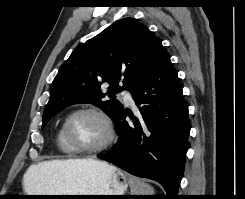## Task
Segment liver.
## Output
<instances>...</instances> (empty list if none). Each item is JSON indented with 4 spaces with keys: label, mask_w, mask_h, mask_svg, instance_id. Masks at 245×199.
<instances>
[{
    "label": "liver",
    "mask_w": 245,
    "mask_h": 199,
    "mask_svg": "<svg viewBox=\"0 0 245 199\" xmlns=\"http://www.w3.org/2000/svg\"><path fill=\"white\" fill-rule=\"evenodd\" d=\"M95 163L92 158L67 159L40 162L31 165L24 175V186L28 192L65 193L60 179L75 173L79 168Z\"/></svg>",
    "instance_id": "1"
}]
</instances>
